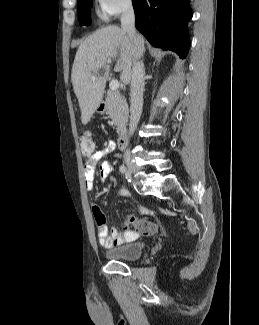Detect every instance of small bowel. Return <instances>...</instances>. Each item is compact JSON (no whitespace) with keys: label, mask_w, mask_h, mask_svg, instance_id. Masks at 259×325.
I'll return each mask as SVG.
<instances>
[{"label":"small bowel","mask_w":259,"mask_h":325,"mask_svg":"<svg viewBox=\"0 0 259 325\" xmlns=\"http://www.w3.org/2000/svg\"><path fill=\"white\" fill-rule=\"evenodd\" d=\"M114 144H110L103 150L94 152L83 165V174L85 180V187L88 191L94 189V180L96 177V168H99V176L102 181H106L113 172L112 164L107 160H102L105 155L113 151ZM118 197H129L130 192L126 188H121L116 192ZM92 215L97 225V235L99 243L104 248H111L121 245L125 242L134 240L138 237V233L130 229L127 225L124 227V231H120L116 227L108 228L106 225V218L98 205L91 207Z\"/></svg>","instance_id":"1"}]
</instances>
